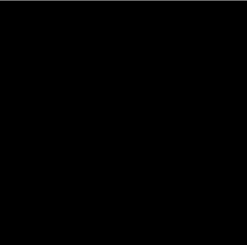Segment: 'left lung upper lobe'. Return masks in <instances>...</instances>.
Wrapping results in <instances>:
<instances>
[{
	"instance_id": "1",
	"label": "left lung upper lobe",
	"mask_w": 247,
	"mask_h": 245,
	"mask_svg": "<svg viewBox=\"0 0 247 245\" xmlns=\"http://www.w3.org/2000/svg\"><path fill=\"white\" fill-rule=\"evenodd\" d=\"M199 85V84H198ZM200 89L203 91L202 93V101L204 104L207 105H214L218 108H222V106L218 103V101L214 98L212 95L211 89L210 88H203L202 85L200 86Z\"/></svg>"
}]
</instances>
